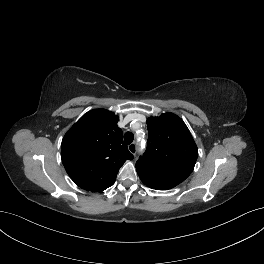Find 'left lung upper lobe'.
Listing matches in <instances>:
<instances>
[{
    "label": "left lung upper lobe",
    "mask_w": 264,
    "mask_h": 264,
    "mask_svg": "<svg viewBox=\"0 0 264 264\" xmlns=\"http://www.w3.org/2000/svg\"><path fill=\"white\" fill-rule=\"evenodd\" d=\"M147 128V149L136 162L137 172L156 166L179 182L184 181L194 169L198 149L183 120L165 113L148 118Z\"/></svg>",
    "instance_id": "left-lung-upper-lobe-1"
}]
</instances>
